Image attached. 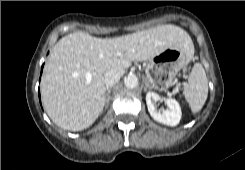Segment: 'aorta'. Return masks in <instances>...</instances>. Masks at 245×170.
<instances>
[{"label": "aorta", "mask_w": 245, "mask_h": 170, "mask_svg": "<svg viewBox=\"0 0 245 170\" xmlns=\"http://www.w3.org/2000/svg\"><path fill=\"white\" fill-rule=\"evenodd\" d=\"M124 84L127 88H136L138 85V78L135 75H129L124 79Z\"/></svg>", "instance_id": "762f6f07"}]
</instances>
